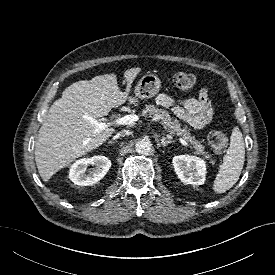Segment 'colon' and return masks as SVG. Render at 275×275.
I'll return each mask as SVG.
<instances>
[{"label":"colon","mask_w":275,"mask_h":275,"mask_svg":"<svg viewBox=\"0 0 275 275\" xmlns=\"http://www.w3.org/2000/svg\"><path fill=\"white\" fill-rule=\"evenodd\" d=\"M172 79L175 87L182 92L191 90L195 84L193 74L187 72H177ZM208 143L215 152L222 153L227 147L228 138L221 131H211L208 134Z\"/></svg>","instance_id":"5ec220e1"}]
</instances>
